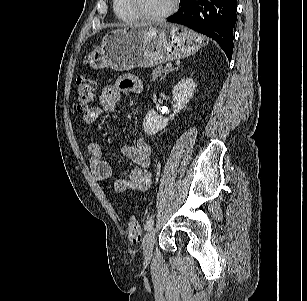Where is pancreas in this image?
I'll return each instance as SVG.
<instances>
[{
	"mask_svg": "<svg viewBox=\"0 0 307 301\" xmlns=\"http://www.w3.org/2000/svg\"><path fill=\"white\" fill-rule=\"evenodd\" d=\"M168 72H169V69L163 68L162 66H158L157 68L153 70L152 75H151V80L154 81L158 77H160L162 73L166 75Z\"/></svg>",
	"mask_w": 307,
	"mask_h": 301,
	"instance_id": "obj_1",
	"label": "pancreas"
}]
</instances>
